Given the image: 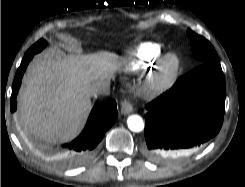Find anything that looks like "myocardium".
<instances>
[{"label": "myocardium", "instance_id": "f54148a6", "mask_svg": "<svg viewBox=\"0 0 245 187\" xmlns=\"http://www.w3.org/2000/svg\"><path fill=\"white\" fill-rule=\"evenodd\" d=\"M179 70V56L174 52L166 54L160 60L158 68L150 78V90L155 94L167 91L176 81Z\"/></svg>", "mask_w": 245, "mask_h": 187}]
</instances>
